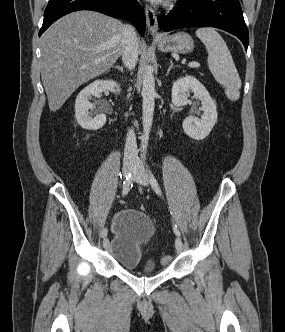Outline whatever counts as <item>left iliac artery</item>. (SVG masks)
<instances>
[{
	"mask_svg": "<svg viewBox=\"0 0 285 332\" xmlns=\"http://www.w3.org/2000/svg\"><path fill=\"white\" fill-rule=\"evenodd\" d=\"M148 174L150 177V183L152 185V188L154 189V191L156 192V194H158L159 196H161V189L160 186L158 184V181L156 180L155 176L152 174V172L150 170H148ZM173 231L177 236H180V231L178 229V227L176 225H173Z\"/></svg>",
	"mask_w": 285,
	"mask_h": 332,
	"instance_id": "44dca946",
	"label": "left iliac artery"
}]
</instances>
